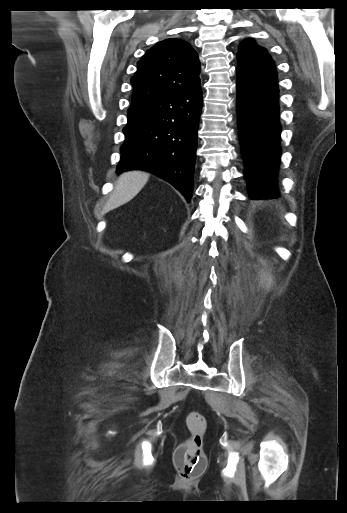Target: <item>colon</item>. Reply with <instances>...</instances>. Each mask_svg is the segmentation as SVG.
Instances as JSON below:
<instances>
[{
    "label": "colon",
    "instance_id": "1",
    "mask_svg": "<svg viewBox=\"0 0 347 513\" xmlns=\"http://www.w3.org/2000/svg\"><path fill=\"white\" fill-rule=\"evenodd\" d=\"M186 426L190 437L180 446L176 456V467L184 478L192 479L198 477L206 466L203 438L207 423L202 414L192 411L186 415Z\"/></svg>",
    "mask_w": 347,
    "mask_h": 513
}]
</instances>
